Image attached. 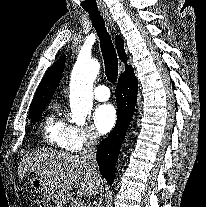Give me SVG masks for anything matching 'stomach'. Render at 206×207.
<instances>
[{
	"mask_svg": "<svg viewBox=\"0 0 206 207\" xmlns=\"http://www.w3.org/2000/svg\"><path fill=\"white\" fill-rule=\"evenodd\" d=\"M29 183L37 192L49 197L48 184L42 178H40L39 176H33L32 178H30Z\"/></svg>",
	"mask_w": 206,
	"mask_h": 207,
	"instance_id": "obj_1",
	"label": "stomach"
}]
</instances>
